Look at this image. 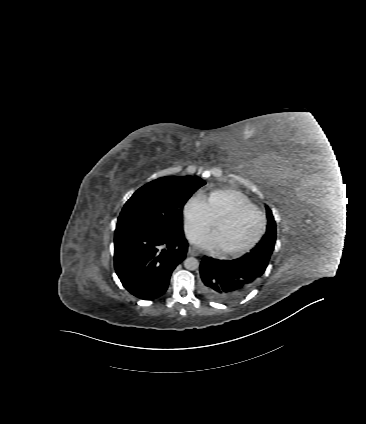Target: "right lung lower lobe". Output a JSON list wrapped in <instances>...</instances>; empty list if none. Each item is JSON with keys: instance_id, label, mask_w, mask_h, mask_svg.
<instances>
[{"instance_id": "right-lung-lower-lobe-1", "label": "right lung lower lobe", "mask_w": 366, "mask_h": 424, "mask_svg": "<svg viewBox=\"0 0 366 424\" xmlns=\"http://www.w3.org/2000/svg\"><path fill=\"white\" fill-rule=\"evenodd\" d=\"M187 248L184 233L169 235L155 228L116 227V274L137 298L155 299L168 288L171 273L186 258Z\"/></svg>"}]
</instances>
